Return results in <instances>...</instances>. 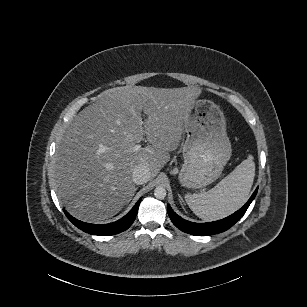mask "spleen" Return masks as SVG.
<instances>
[{"instance_id": "spleen-1", "label": "spleen", "mask_w": 307, "mask_h": 307, "mask_svg": "<svg viewBox=\"0 0 307 307\" xmlns=\"http://www.w3.org/2000/svg\"><path fill=\"white\" fill-rule=\"evenodd\" d=\"M256 165L253 154H248L235 169L208 192L186 195L193 212L204 221H217L239 210L248 200Z\"/></svg>"}]
</instances>
